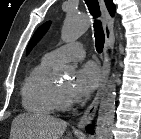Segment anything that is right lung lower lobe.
<instances>
[{"label": "right lung lower lobe", "instance_id": "right-lung-lower-lobe-1", "mask_svg": "<svg viewBox=\"0 0 141 139\" xmlns=\"http://www.w3.org/2000/svg\"><path fill=\"white\" fill-rule=\"evenodd\" d=\"M87 131H88L89 133H93V126H92V125H89V126L87 127Z\"/></svg>", "mask_w": 141, "mask_h": 139}]
</instances>
